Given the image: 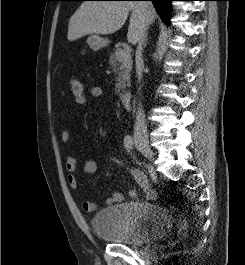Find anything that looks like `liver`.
Instances as JSON below:
<instances>
[{
	"mask_svg": "<svg viewBox=\"0 0 245 265\" xmlns=\"http://www.w3.org/2000/svg\"><path fill=\"white\" fill-rule=\"evenodd\" d=\"M132 11L127 39L131 44L138 42L142 25V11L139 2L131 1H85L72 15L68 25L67 38L74 41L88 34L109 35L122 28ZM152 20L155 10L152 6Z\"/></svg>",
	"mask_w": 245,
	"mask_h": 265,
	"instance_id": "6515ba94",
	"label": "liver"
}]
</instances>
